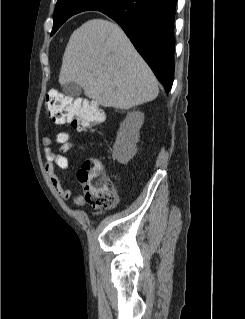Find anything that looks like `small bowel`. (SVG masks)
<instances>
[{
	"instance_id": "c3829d8e",
	"label": "small bowel",
	"mask_w": 245,
	"mask_h": 319,
	"mask_svg": "<svg viewBox=\"0 0 245 319\" xmlns=\"http://www.w3.org/2000/svg\"><path fill=\"white\" fill-rule=\"evenodd\" d=\"M55 143L59 145V153L53 150V140L50 137H44L42 139L43 151L46 158L45 171L49 176L50 182L55 190L60 194L64 200H68L72 196V192L69 188L63 187L59 176V170H65L69 166L68 158L65 153L73 150H84L85 147L70 138V134L65 131L58 132L55 136ZM84 199L81 195H77L74 199L75 206H82ZM102 213H97L101 215Z\"/></svg>"
}]
</instances>
